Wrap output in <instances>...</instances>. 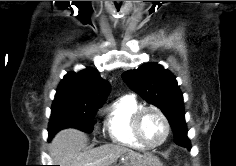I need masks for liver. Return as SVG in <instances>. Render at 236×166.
<instances>
[{
    "label": "liver",
    "mask_w": 236,
    "mask_h": 166,
    "mask_svg": "<svg viewBox=\"0 0 236 166\" xmlns=\"http://www.w3.org/2000/svg\"><path fill=\"white\" fill-rule=\"evenodd\" d=\"M87 136L73 128L58 132L50 143L49 150L53 163L61 166H111L118 158L133 166L145 163L146 156L122 145L107 144L88 151H82Z\"/></svg>",
    "instance_id": "6515ba94"
}]
</instances>
